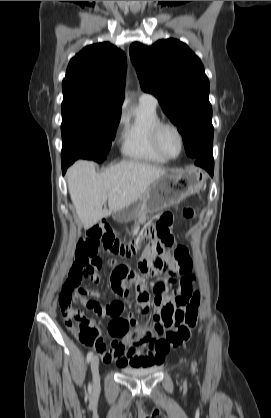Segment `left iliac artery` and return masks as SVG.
<instances>
[{"mask_svg":"<svg viewBox=\"0 0 271 418\" xmlns=\"http://www.w3.org/2000/svg\"><path fill=\"white\" fill-rule=\"evenodd\" d=\"M192 369H193V372L195 371V364L193 363L192 364Z\"/></svg>","mask_w":271,"mask_h":418,"instance_id":"left-iliac-artery-1","label":"left iliac artery"}]
</instances>
